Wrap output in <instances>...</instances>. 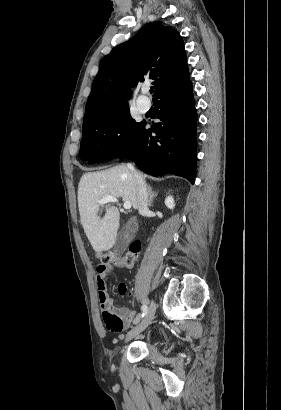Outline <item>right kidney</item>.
<instances>
[{
    "label": "right kidney",
    "mask_w": 281,
    "mask_h": 410,
    "mask_svg": "<svg viewBox=\"0 0 281 410\" xmlns=\"http://www.w3.org/2000/svg\"><path fill=\"white\" fill-rule=\"evenodd\" d=\"M165 205L169 209H173L175 207L174 199L172 196H168L165 199Z\"/></svg>",
    "instance_id": "right-kidney-1"
}]
</instances>
